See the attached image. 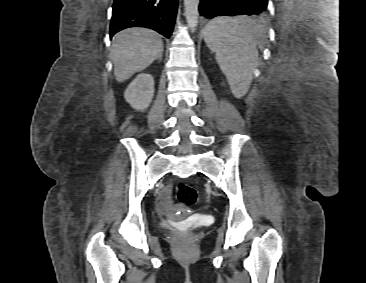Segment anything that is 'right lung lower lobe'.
I'll use <instances>...</instances> for the list:
<instances>
[{
    "label": "right lung lower lobe",
    "mask_w": 366,
    "mask_h": 283,
    "mask_svg": "<svg viewBox=\"0 0 366 283\" xmlns=\"http://www.w3.org/2000/svg\"><path fill=\"white\" fill-rule=\"evenodd\" d=\"M177 7L178 0H114L110 38L130 27L150 28L169 38Z\"/></svg>",
    "instance_id": "obj_1"
}]
</instances>
